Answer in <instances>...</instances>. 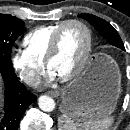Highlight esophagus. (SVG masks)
Instances as JSON below:
<instances>
[{"label": "esophagus", "mask_w": 130, "mask_h": 130, "mask_svg": "<svg viewBox=\"0 0 130 130\" xmlns=\"http://www.w3.org/2000/svg\"><path fill=\"white\" fill-rule=\"evenodd\" d=\"M48 94L53 96V97H58L59 96V92L58 91H49Z\"/></svg>", "instance_id": "1"}]
</instances>
